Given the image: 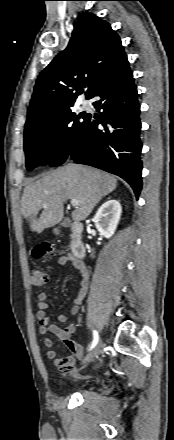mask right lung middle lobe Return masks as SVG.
<instances>
[{"mask_svg": "<svg viewBox=\"0 0 174 440\" xmlns=\"http://www.w3.org/2000/svg\"><path fill=\"white\" fill-rule=\"evenodd\" d=\"M86 115L82 113L76 116L70 108L25 131L27 169L31 171L40 165H61L67 159L73 143L81 135ZM79 118L83 120L79 121Z\"/></svg>", "mask_w": 174, "mask_h": 440, "instance_id": "obj_1", "label": "right lung middle lobe"}]
</instances>
